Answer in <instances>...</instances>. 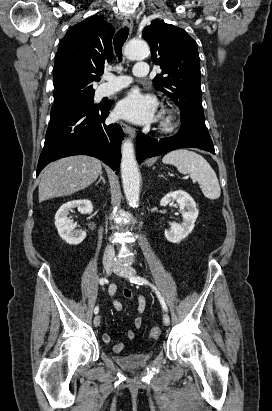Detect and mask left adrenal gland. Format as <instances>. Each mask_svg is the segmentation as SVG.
<instances>
[{
	"instance_id": "obj_1",
	"label": "left adrenal gland",
	"mask_w": 272,
	"mask_h": 411,
	"mask_svg": "<svg viewBox=\"0 0 272 411\" xmlns=\"http://www.w3.org/2000/svg\"><path fill=\"white\" fill-rule=\"evenodd\" d=\"M159 176H160V177H163V175H162V174H160Z\"/></svg>"
}]
</instances>
